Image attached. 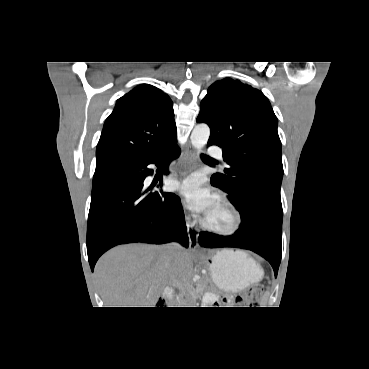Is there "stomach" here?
Here are the masks:
<instances>
[{
    "label": "stomach",
    "instance_id": "1",
    "mask_svg": "<svg viewBox=\"0 0 369 369\" xmlns=\"http://www.w3.org/2000/svg\"><path fill=\"white\" fill-rule=\"evenodd\" d=\"M208 265L213 282L225 292H239L258 282L263 275L255 261L241 251H219Z\"/></svg>",
    "mask_w": 369,
    "mask_h": 369
}]
</instances>
